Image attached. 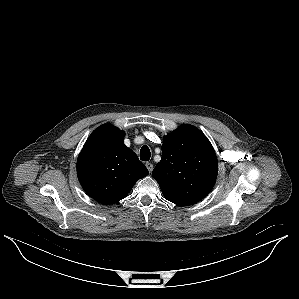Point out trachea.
<instances>
[{"mask_svg":"<svg viewBox=\"0 0 299 299\" xmlns=\"http://www.w3.org/2000/svg\"><path fill=\"white\" fill-rule=\"evenodd\" d=\"M151 157V152L148 146H143L140 150V159L142 161H148Z\"/></svg>","mask_w":299,"mask_h":299,"instance_id":"1","label":"trachea"}]
</instances>
